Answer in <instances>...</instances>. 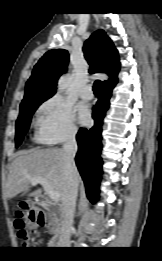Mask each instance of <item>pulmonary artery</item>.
Segmentation results:
<instances>
[{
	"mask_svg": "<svg viewBox=\"0 0 162 261\" xmlns=\"http://www.w3.org/2000/svg\"><path fill=\"white\" fill-rule=\"evenodd\" d=\"M80 97L82 99H92L93 98V91H92V87L90 85H86L84 86L79 93Z\"/></svg>",
	"mask_w": 162,
	"mask_h": 261,
	"instance_id": "e3ab8cb5",
	"label": "pulmonary artery"
}]
</instances>
